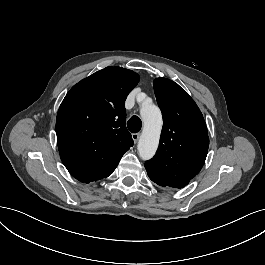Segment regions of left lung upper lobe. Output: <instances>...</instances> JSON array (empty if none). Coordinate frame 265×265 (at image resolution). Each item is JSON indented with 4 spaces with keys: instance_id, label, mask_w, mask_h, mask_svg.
Listing matches in <instances>:
<instances>
[{
    "instance_id": "5c2ea615",
    "label": "left lung upper lobe",
    "mask_w": 265,
    "mask_h": 265,
    "mask_svg": "<svg viewBox=\"0 0 265 265\" xmlns=\"http://www.w3.org/2000/svg\"><path fill=\"white\" fill-rule=\"evenodd\" d=\"M154 92L163 129L156 155L145 168L158 185L183 188L204 165L209 147L206 123L194 100L175 82L156 78Z\"/></svg>"
}]
</instances>
